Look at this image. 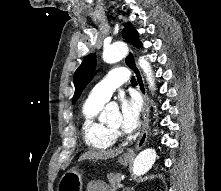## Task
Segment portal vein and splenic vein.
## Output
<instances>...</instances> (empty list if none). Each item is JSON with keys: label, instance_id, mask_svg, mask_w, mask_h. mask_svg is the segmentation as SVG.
<instances>
[{"label": "portal vein and splenic vein", "instance_id": "portal-vein-and-splenic-vein-1", "mask_svg": "<svg viewBox=\"0 0 221 191\" xmlns=\"http://www.w3.org/2000/svg\"><path fill=\"white\" fill-rule=\"evenodd\" d=\"M118 187H123V184H119V186Z\"/></svg>", "mask_w": 221, "mask_h": 191}]
</instances>
